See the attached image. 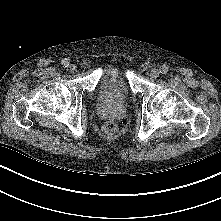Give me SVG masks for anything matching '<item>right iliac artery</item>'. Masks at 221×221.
<instances>
[{
  "mask_svg": "<svg viewBox=\"0 0 221 221\" xmlns=\"http://www.w3.org/2000/svg\"><path fill=\"white\" fill-rule=\"evenodd\" d=\"M62 65H63V67L67 68V67L69 66L68 60H67V59H64V60L62 61Z\"/></svg>",
  "mask_w": 221,
  "mask_h": 221,
  "instance_id": "obj_1",
  "label": "right iliac artery"
}]
</instances>
